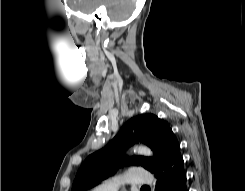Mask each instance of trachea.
<instances>
[{
	"label": "trachea",
	"mask_w": 245,
	"mask_h": 191,
	"mask_svg": "<svg viewBox=\"0 0 245 191\" xmlns=\"http://www.w3.org/2000/svg\"><path fill=\"white\" fill-rule=\"evenodd\" d=\"M148 188V186H143L141 189H147Z\"/></svg>",
	"instance_id": "obj_1"
}]
</instances>
